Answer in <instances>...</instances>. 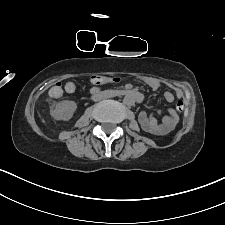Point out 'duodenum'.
Instances as JSON below:
<instances>
[{
  "instance_id": "410a0bca",
  "label": "duodenum",
  "mask_w": 225,
  "mask_h": 225,
  "mask_svg": "<svg viewBox=\"0 0 225 225\" xmlns=\"http://www.w3.org/2000/svg\"><path fill=\"white\" fill-rule=\"evenodd\" d=\"M95 97L99 99H105L113 96L122 95L125 96L127 100H130L132 102L140 103L143 99L142 94L136 91H123V90H108V91H102L97 92L94 94Z\"/></svg>"
}]
</instances>
